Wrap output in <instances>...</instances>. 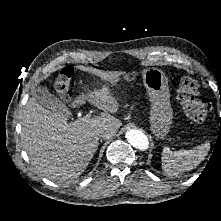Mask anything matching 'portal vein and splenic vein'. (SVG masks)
<instances>
[{"instance_id": "portal-vein-and-splenic-vein-1", "label": "portal vein and splenic vein", "mask_w": 221, "mask_h": 221, "mask_svg": "<svg viewBox=\"0 0 221 221\" xmlns=\"http://www.w3.org/2000/svg\"><path fill=\"white\" fill-rule=\"evenodd\" d=\"M91 117L90 114H87L84 119H89Z\"/></svg>"}]
</instances>
